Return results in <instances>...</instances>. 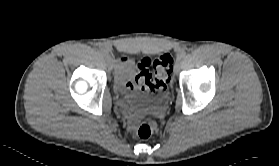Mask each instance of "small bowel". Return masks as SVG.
Masks as SVG:
<instances>
[{
    "instance_id": "1",
    "label": "small bowel",
    "mask_w": 279,
    "mask_h": 166,
    "mask_svg": "<svg viewBox=\"0 0 279 166\" xmlns=\"http://www.w3.org/2000/svg\"><path fill=\"white\" fill-rule=\"evenodd\" d=\"M135 65L127 57H121L116 62L115 80L120 88L133 90L135 88Z\"/></svg>"
}]
</instances>
